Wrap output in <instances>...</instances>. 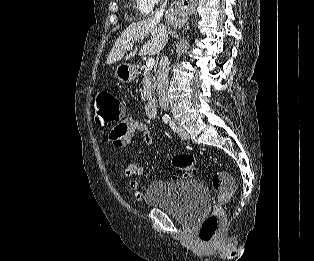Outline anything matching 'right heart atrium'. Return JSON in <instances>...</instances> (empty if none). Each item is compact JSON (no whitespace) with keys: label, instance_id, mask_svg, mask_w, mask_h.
I'll return each mask as SVG.
<instances>
[{"label":"right heart atrium","instance_id":"d8ad5b80","mask_svg":"<svg viewBox=\"0 0 314 261\" xmlns=\"http://www.w3.org/2000/svg\"><path fill=\"white\" fill-rule=\"evenodd\" d=\"M147 7L148 11H152L159 3L164 0H142Z\"/></svg>","mask_w":314,"mask_h":261}]
</instances>
